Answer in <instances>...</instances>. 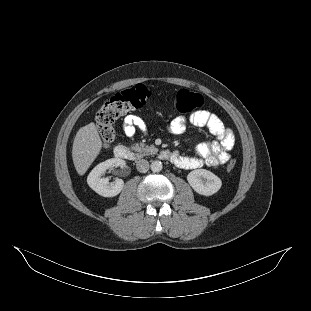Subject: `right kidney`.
<instances>
[{
    "label": "right kidney",
    "instance_id": "ca27d5eb",
    "mask_svg": "<svg viewBox=\"0 0 311 311\" xmlns=\"http://www.w3.org/2000/svg\"><path fill=\"white\" fill-rule=\"evenodd\" d=\"M126 162L119 158L108 159L98 164L88 175V185L99 195L104 197H113L118 195L124 186L122 179H116L114 182H109L108 178H102L106 170L112 167L125 166Z\"/></svg>",
    "mask_w": 311,
    "mask_h": 311
}]
</instances>
